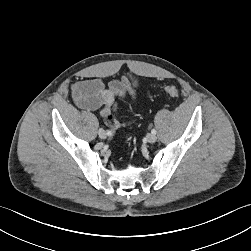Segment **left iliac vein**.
<instances>
[{
  "mask_svg": "<svg viewBox=\"0 0 251 251\" xmlns=\"http://www.w3.org/2000/svg\"><path fill=\"white\" fill-rule=\"evenodd\" d=\"M146 139H147V141H148L149 143H154V142H156L157 137H156L155 134L149 133V134L147 135Z\"/></svg>",
  "mask_w": 251,
  "mask_h": 251,
  "instance_id": "left-iliac-vein-1",
  "label": "left iliac vein"
}]
</instances>
